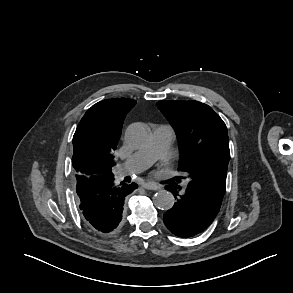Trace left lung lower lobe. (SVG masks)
<instances>
[{
    "label": "left lung lower lobe",
    "instance_id": "obj_1",
    "mask_svg": "<svg viewBox=\"0 0 293 293\" xmlns=\"http://www.w3.org/2000/svg\"><path fill=\"white\" fill-rule=\"evenodd\" d=\"M175 197L174 206L163 216L167 228L181 238L192 237L206 229L215 219L222 199L193 183L183 186L172 181L166 186Z\"/></svg>",
    "mask_w": 293,
    "mask_h": 293
}]
</instances>
